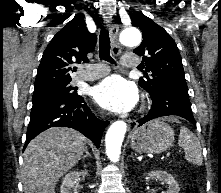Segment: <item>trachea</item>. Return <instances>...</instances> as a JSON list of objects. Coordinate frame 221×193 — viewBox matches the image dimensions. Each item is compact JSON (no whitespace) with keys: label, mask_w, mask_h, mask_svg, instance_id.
<instances>
[{"label":"trachea","mask_w":221,"mask_h":193,"mask_svg":"<svg viewBox=\"0 0 221 193\" xmlns=\"http://www.w3.org/2000/svg\"><path fill=\"white\" fill-rule=\"evenodd\" d=\"M99 57L101 60H105L114 64V59L110 56V38L109 33L105 27L101 28L99 36Z\"/></svg>","instance_id":"3493384b"}]
</instances>
